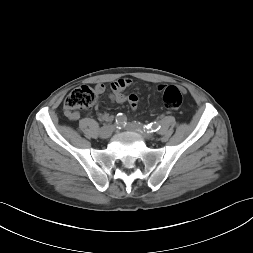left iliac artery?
Segmentation results:
<instances>
[{
  "mask_svg": "<svg viewBox=\"0 0 253 253\" xmlns=\"http://www.w3.org/2000/svg\"><path fill=\"white\" fill-rule=\"evenodd\" d=\"M134 124H137L136 121L134 122ZM160 127L161 126L158 122H153V123L146 125L144 128H146L148 130V132H156L160 129Z\"/></svg>",
  "mask_w": 253,
  "mask_h": 253,
  "instance_id": "left-iliac-artery-1",
  "label": "left iliac artery"
}]
</instances>
